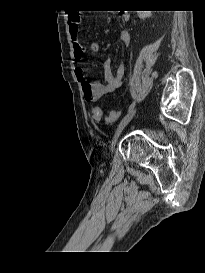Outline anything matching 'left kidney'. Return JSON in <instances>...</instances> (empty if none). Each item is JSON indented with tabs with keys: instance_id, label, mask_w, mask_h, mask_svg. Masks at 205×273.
<instances>
[{
	"instance_id": "5707ae66",
	"label": "left kidney",
	"mask_w": 205,
	"mask_h": 273,
	"mask_svg": "<svg viewBox=\"0 0 205 273\" xmlns=\"http://www.w3.org/2000/svg\"><path fill=\"white\" fill-rule=\"evenodd\" d=\"M153 11H137L138 17L141 19L148 18L152 15Z\"/></svg>"
}]
</instances>
